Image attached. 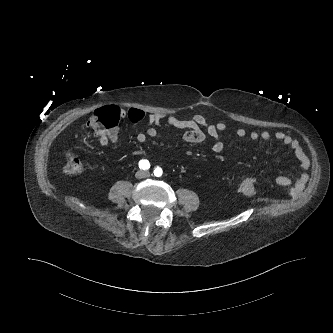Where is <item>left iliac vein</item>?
<instances>
[{"mask_svg":"<svg viewBox=\"0 0 333 333\" xmlns=\"http://www.w3.org/2000/svg\"><path fill=\"white\" fill-rule=\"evenodd\" d=\"M145 176H146V177H149V176H150V173H149V172H145Z\"/></svg>","mask_w":333,"mask_h":333,"instance_id":"left-iliac-vein-1","label":"left iliac vein"}]
</instances>
